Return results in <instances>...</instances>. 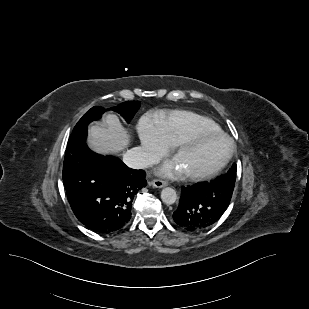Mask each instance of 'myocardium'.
<instances>
[{
	"label": "myocardium",
	"instance_id": "obj_1",
	"mask_svg": "<svg viewBox=\"0 0 309 309\" xmlns=\"http://www.w3.org/2000/svg\"><path fill=\"white\" fill-rule=\"evenodd\" d=\"M207 137L223 138L228 143V150L223 159L212 169L205 172H187L185 177L191 181H203L210 179L220 173L231 160L234 153V143L224 132L195 131L175 145L174 154L177 155L181 150L193 145L197 141Z\"/></svg>",
	"mask_w": 309,
	"mask_h": 309
}]
</instances>
